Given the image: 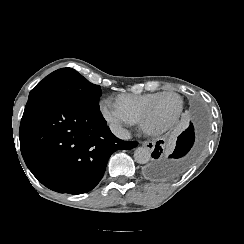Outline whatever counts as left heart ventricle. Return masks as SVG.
<instances>
[{"instance_id":"b2bd125f","label":"left heart ventricle","mask_w":244,"mask_h":244,"mask_svg":"<svg viewBox=\"0 0 244 244\" xmlns=\"http://www.w3.org/2000/svg\"><path fill=\"white\" fill-rule=\"evenodd\" d=\"M178 101L175 97L166 95L158 99L155 104V111L159 115H163L164 118H168L176 109Z\"/></svg>"}]
</instances>
